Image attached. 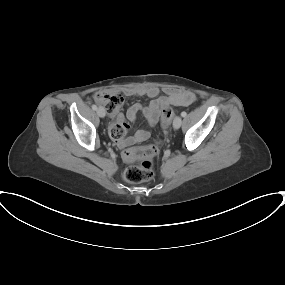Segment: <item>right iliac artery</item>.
<instances>
[{"label": "right iliac artery", "mask_w": 285, "mask_h": 285, "mask_svg": "<svg viewBox=\"0 0 285 285\" xmlns=\"http://www.w3.org/2000/svg\"><path fill=\"white\" fill-rule=\"evenodd\" d=\"M92 109H93V110H97V106L93 104V105H92Z\"/></svg>", "instance_id": "right-iliac-artery-1"}]
</instances>
